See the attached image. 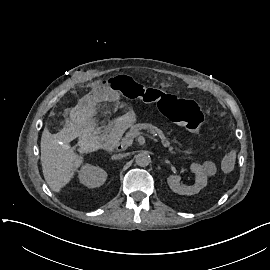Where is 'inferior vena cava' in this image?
I'll list each match as a JSON object with an SVG mask.
<instances>
[{
    "instance_id": "obj_1",
    "label": "inferior vena cava",
    "mask_w": 270,
    "mask_h": 270,
    "mask_svg": "<svg viewBox=\"0 0 270 270\" xmlns=\"http://www.w3.org/2000/svg\"><path fill=\"white\" fill-rule=\"evenodd\" d=\"M125 156H126V154H118V155L112 156V159H121V158H123Z\"/></svg>"
}]
</instances>
